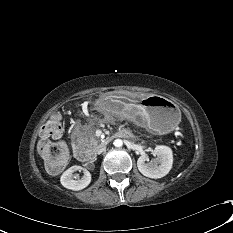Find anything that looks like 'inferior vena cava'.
<instances>
[{"label":"inferior vena cava","instance_id":"1","mask_svg":"<svg viewBox=\"0 0 233 233\" xmlns=\"http://www.w3.org/2000/svg\"><path fill=\"white\" fill-rule=\"evenodd\" d=\"M103 151H104V148L101 147V148H99V149L97 150V153H98V154H101Z\"/></svg>","mask_w":233,"mask_h":233}]
</instances>
